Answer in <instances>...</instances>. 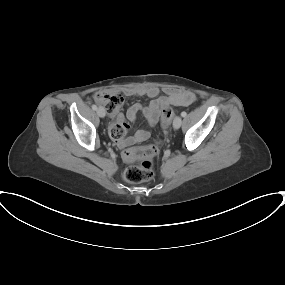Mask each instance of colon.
Segmentation results:
<instances>
[{"instance_id":"colon-1","label":"colon","mask_w":285,"mask_h":285,"mask_svg":"<svg viewBox=\"0 0 285 285\" xmlns=\"http://www.w3.org/2000/svg\"><path fill=\"white\" fill-rule=\"evenodd\" d=\"M96 100L102 104L108 113L115 114L119 111L123 98L121 95L110 92H98L95 96ZM173 120V113L170 109L163 112L161 124L163 128H168ZM127 126L115 127L110 130V136L120 141L124 138ZM160 142L149 143L144 146L129 147L123 151L124 159L133 161L140 159L138 165H130L124 171V178L131 183H140L149 181L153 177V161L152 159L158 154Z\"/></svg>"}]
</instances>
